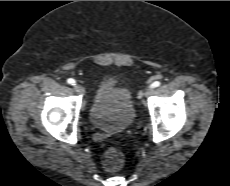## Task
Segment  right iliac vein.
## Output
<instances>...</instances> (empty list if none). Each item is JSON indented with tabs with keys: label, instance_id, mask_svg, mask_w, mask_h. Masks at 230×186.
Instances as JSON below:
<instances>
[{
	"label": "right iliac vein",
	"instance_id": "1",
	"mask_svg": "<svg viewBox=\"0 0 230 186\" xmlns=\"http://www.w3.org/2000/svg\"><path fill=\"white\" fill-rule=\"evenodd\" d=\"M74 89H75L76 92H78V93H80L82 95L85 94V90H84V88L81 85H75Z\"/></svg>",
	"mask_w": 230,
	"mask_h": 186
}]
</instances>
